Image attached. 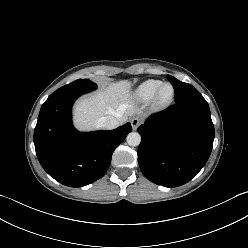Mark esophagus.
Listing matches in <instances>:
<instances>
[{
	"mask_svg": "<svg viewBox=\"0 0 248 248\" xmlns=\"http://www.w3.org/2000/svg\"><path fill=\"white\" fill-rule=\"evenodd\" d=\"M140 123H141L140 118H138V117L132 118L131 119V126H132L133 130H136Z\"/></svg>",
	"mask_w": 248,
	"mask_h": 248,
	"instance_id": "34e87169",
	"label": "esophagus"
}]
</instances>
